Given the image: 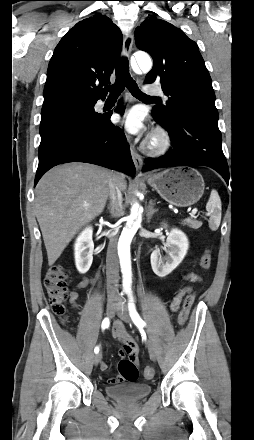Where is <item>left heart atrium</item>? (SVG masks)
<instances>
[{
  "label": "left heart atrium",
  "instance_id": "39dd6f15",
  "mask_svg": "<svg viewBox=\"0 0 254 440\" xmlns=\"http://www.w3.org/2000/svg\"><path fill=\"white\" fill-rule=\"evenodd\" d=\"M131 134H140L144 131L142 114L137 109H132L125 113L119 121Z\"/></svg>",
  "mask_w": 254,
  "mask_h": 440
}]
</instances>
